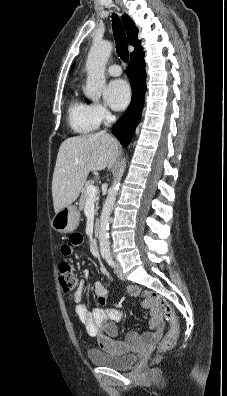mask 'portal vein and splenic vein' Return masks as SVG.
<instances>
[{
  "mask_svg": "<svg viewBox=\"0 0 227 396\" xmlns=\"http://www.w3.org/2000/svg\"><path fill=\"white\" fill-rule=\"evenodd\" d=\"M97 192H98V189L94 185H90L87 188V194H88L89 197H95L97 195Z\"/></svg>",
  "mask_w": 227,
  "mask_h": 396,
  "instance_id": "portal-vein-and-splenic-vein-1",
  "label": "portal vein and splenic vein"
}]
</instances>
